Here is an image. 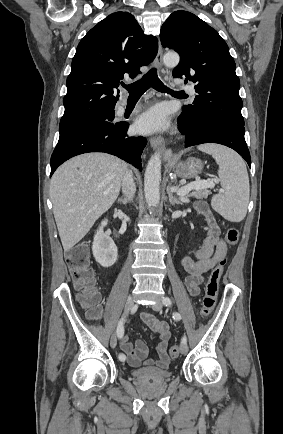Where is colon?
<instances>
[{"instance_id": "colon-1", "label": "colon", "mask_w": 283, "mask_h": 434, "mask_svg": "<svg viewBox=\"0 0 283 434\" xmlns=\"http://www.w3.org/2000/svg\"><path fill=\"white\" fill-rule=\"evenodd\" d=\"M225 240L227 244L235 245L239 240V231L236 228L228 229L225 234ZM65 258L75 288L80 292L79 300L81 304L87 309L91 318H97L100 314L99 294L95 288V278L90 266L87 245L84 243L75 245L67 251ZM224 264L225 260L223 259L211 270L207 279L201 309L204 317L209 316L215 308ZM179 353L180 348L177 345H173L169 350L172 358H176Z\"/></svg>"}]
</instances>
